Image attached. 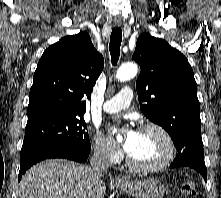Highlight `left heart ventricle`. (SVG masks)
<instances>
[{
	"label": "left heart ventricle",
	"instance_id": "left-heart-ventricle-1",
	"mask_svg": "<svg viewBox=\"0 0 221 198\" xmlns=\"http://www.w3.org/2000/svg\"><path fill=\"white\" fill-rule=\"evenodd\" d=\"M166 152L163 137L155 130L138 131L137 139L128 153L138 164L149 165L158 162Z\"/></svg>",
	"mask_w": 221,
	"mask_h": 198
}]
</instances>
